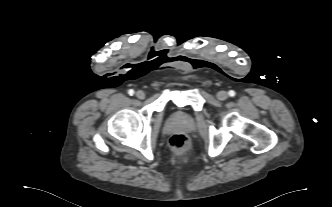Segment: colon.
I'll return each mask as SVG.
<instances>
[{"label":"colon","mask_w":332,"mask_h":207,"mask_svg":"<svg viewBox=\"0 0 332 207\" xmlns=\"http://www.w3.org/2000/svg\"><path fill=\"white\" fill-rule=\"evenodd\" d=\"M170 149L178 155L186 154L191 149V142L183 134H175L169 140Z\"/></svg>","instance_id":"1"}]
</instances>
